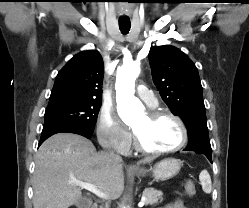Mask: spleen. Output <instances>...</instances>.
Here are the masks:
<instances>
[{"label": "spleen", "mask_w": 249, "mask_h": 208, "mask_svg": "<svg viewBox=\"0 0 249 208\" xmlns=\"http://www.w3.org/2000/svg\"><path fill=\"white\" fill-rule=\"evenodd\" d=\"M199 180L202 185V189L205 193L209 194L212 190L211 178L207 170H202L199 175Z\"/></svg>", "instance_id": "3e777b00"}]
</instances>
